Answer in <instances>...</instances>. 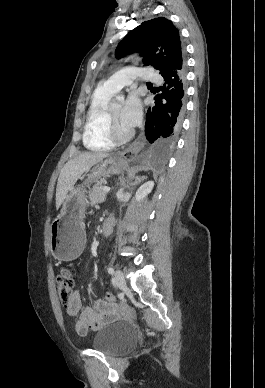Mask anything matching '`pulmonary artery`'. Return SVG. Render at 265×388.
I'll return each instance as SVG.
<instances>
[{
  "label": "pulmonary artery",
  "instance_id": "pulmonary-artery-1",
  "mask_svg": "<svg viewBox=\"0 0 265 388\" xmlns=\"http://www.w3.org/2000/svg\"><path fill=\"white\" fill-rule=\"evenodd\" d=\"M129 68L123 69L121 71L122 75H110L109 79H104L103 83L106 90H120L122 86H129L131 82L138 80L136 75L146 76L147 82H161L163 80L159 72H152L154 69L152 64H139L138 66H130Z\"/></svg>",
  "mask_w": 265,
  "mask_h": 388
}]
</instances>
